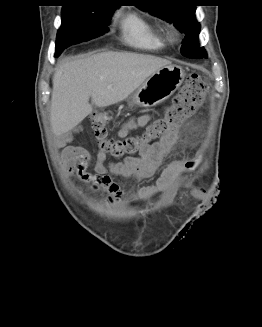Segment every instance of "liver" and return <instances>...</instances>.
Returning <instances> with one entry per match:
<instances>
[{"label":"liver","mask_w":262,"mask_h":327,"mask_svg":"<svg viewBox=\"0 0 262 327\" xmlns=\"http://www.w3.org/2000/svg\"><path fill=\"white\" fill-rule=\"evenodd\" d=\"M169 64L151 55L111 51L63 62L53 76L50 121L54 135L76 127L93 111L92 105L107 107L126 99Z\"/></svg>","instance_id":"obj_1"}]
</instances>
